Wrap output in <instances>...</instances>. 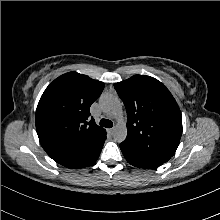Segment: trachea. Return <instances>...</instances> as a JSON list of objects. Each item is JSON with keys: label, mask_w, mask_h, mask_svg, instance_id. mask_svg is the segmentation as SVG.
Listing matches in <instances>:
<instances>
[{"label": "trachea", "mask_w": 220, "mask_h": 220, "mask_svg": "<svg viewBox=\"0 0 220 220\" xmlns=\"http://www.w3.org/2000/svg\"><path fill=\"white\" fill-rule=\"evenodd\" d=\"M100 126L106 127V128H111L113 126V122L108 119H101L100 120Z\"/></svg>", "instance_id": "obj_1"}]
</instances>
